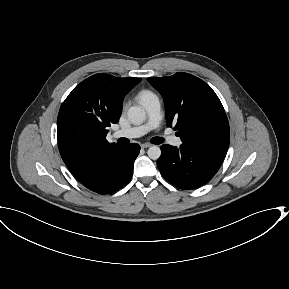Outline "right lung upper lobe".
I'll return each instance as SVG.
<instances>
[{
	"label": "right lung upper lobe",
	"mask_w": 289,
	"mask_h": 289,
	"mask_svg": "<svg viewBox=\"0 0 289 289\" xmlns=\"http://www.w3.org/2000/svg\"><path fill=\"white\" fill-rule=\"evenodd\" d=\"M140 78L95 74L77 85L63 102L57 119L61 157L77 180L120 146L106 140L107 127L118 122L126 93Z\"/></svg>",
	"instance_id": "cb5924a9"
}]
</instances>
